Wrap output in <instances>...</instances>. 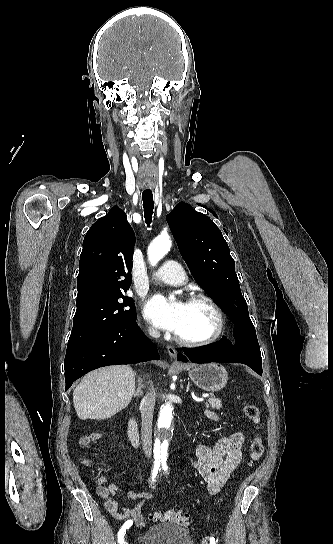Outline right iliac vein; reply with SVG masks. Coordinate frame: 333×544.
<instances>
[{
    "instance_id": "obj_1",
    "label": "right iliac vein",
    "mask_w": 333,
    "mask_h": 544,
    "mask_svg": "<svg viewBox=\"0 0 333 544\" xmlns=\"http://www.w3.org/2000/svg\"><path fill=\"white\" fill-rule=\"evenodd\" d=\"M124 544H128V541L126 540V541L124 542Z\"/></svg>"
}]
</instances>
